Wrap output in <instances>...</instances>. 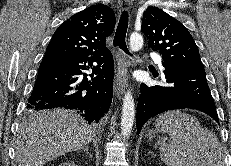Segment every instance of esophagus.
Returning <instances> with one entry per match:
<instances>
[{"instance_id":"obj_1","label":"esophagus","mask_w":231,"mask_h":166,"mask_svg":"<svg viewBox=\"0 0 231 166\" xmlns=\"http://www.w3.org/2000/svg\"><path fill=\"white\" fill-rule=\"evenodd\" d=\"M133 0H125L128 6L132 5ZM127 57L121 52H117V71L114 81L115 93L118 98L124 94L127 86V67H128Z\"/></svg>"}]
</instances>
